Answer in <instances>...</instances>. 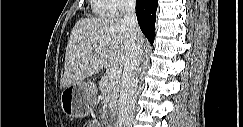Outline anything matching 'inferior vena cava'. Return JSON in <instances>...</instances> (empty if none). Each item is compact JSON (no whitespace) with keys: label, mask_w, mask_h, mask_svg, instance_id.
<instances>
[{"label":"inferior vena cava","mask_w":243,"mask_h":127,"mask_svg":"<svg viewBox=\"0 0 243 127\" xmlns=\"http://www.w3.org/2000/svg\"><path fill=\"white\" fill-rule=\"evenodd\" d=\"M124 9L123 23L127 25L130 32V41L120 81L117 127H132L135 111V91L143 47L139 39L141 31L136 18V1L124 0Z\"/></svg>","instance_id":"1"}]
</instances>
